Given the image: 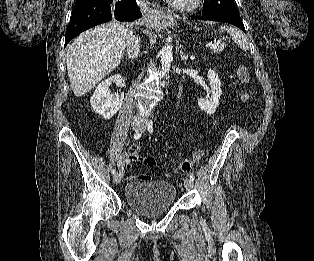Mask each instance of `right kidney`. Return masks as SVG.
I'll return each instance as SVG.
<instances>
[{
    "mask_svg": "<svg viewBox=\"0 0 314 261\" xmlns=\"http://www.w3.org/2000/svg\"><path fill=\"white\" fill-rule=\"evenodd\" d=\"M115 82L118 87H125V80L121 75H114L102 81L95 89L90 103L93 110L105 119L112 118L121 108L124 93L110 94L109 87Z\"/></svg>",
    "mask_w": 314,
    "mask_h": 261,
    "instance_id": "1",
    "label": "right kidney"
}]
</instances>
